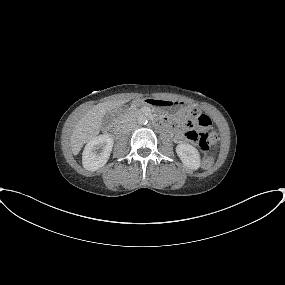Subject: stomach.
<instances>
[{"label": "stomach", "instance_id": "obj_1", "mask_svg": "<svg viewBox=\"0 0 285 285\" xmlns=\"http://www.w3.org/2000/svg\"><path fill=\"white\" fill-rule=\"evenodd\" d=\"M140 106H147L153 111L171 113L184 107L181 101L158 99V98H144L137 102Z\"/></svg>", "mask_w": 285, "mask_h": 285}]
</instances>
